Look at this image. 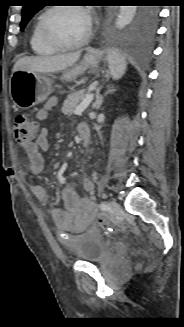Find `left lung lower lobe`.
<instances>
[{"instance_id":"1","label":"left lung lower lobe","mask_w":184,"mask_h":327,"mask_svg":"<svg viewBox=\"0 0 184 327\" xmlns=\"http://www.w3.org/2000/svg\"><path fill=\"white\" fill-rule=\"evenodd\" d=\"M157 17L158 11L154 7H144L132 27L112 37V47L125 53H149L156 32Z\"/></svg>"}]
</instances>
